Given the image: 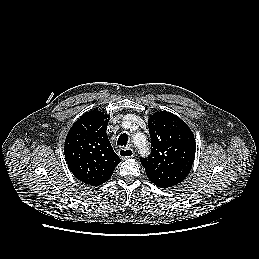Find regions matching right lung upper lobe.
I'll list each match as a JSON object with an SVG mask.
<instances>
[{"label":"right lung upper lobe","instance_id":"obj_1","mask_svg":"<svg viewBox=\"0 0 259 259\" xmlns=\"http://www.w3.org/2000/svg\"><path fill=\"white\" fill-rule=\"evenodd\" d=\"M108 118L97 110L85 113L73 124L65 140L64 154L70 171L89 185L109 180L121 161L106 133Z\"/></svg>","mask_w":259,"mask_h":259}]
</instances>
